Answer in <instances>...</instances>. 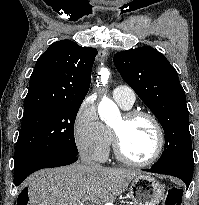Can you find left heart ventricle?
Listing matches in <instances>:
<instances>
[{
  "label": "left heart ventricle",
  "instance_id": "1",
  "mask_svg": "<svg viewBox=\"0 0 199 205\" xmlns=\"http://www.w3.org/2000/svg\"><path fill=\"white\" fill-rule=\"evenodd\" d=\"M112 126L118 131L122 150L128 157L145 160L153 154L157 135L148 119L136 118L126 122L119 116Z\"/></svg>",
  "mask_w": 199,
  "mask_h": 205
}]
</instances>
